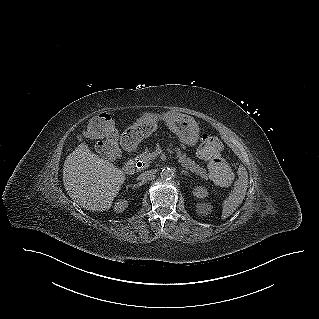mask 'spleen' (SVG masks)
Instances as JSON below:
<instances>
[{
    "mask_svg": "<svg viewBox=\"0 0 319 319\" xmlns=\"http://www.w3.org/2000/svg\"><path fill=\"white\" fill-rule=\"evenodd\" d=\"M238 179L231 194L223 202L222 219L228 218L245 198L248 188V173L244 166L238 168Z\"/></svg>",
    "mask_w": 319,
    "mask_h": 319,
    "instance_id": "spleen-1",
    "label": "spleen"
}]
</instances>
